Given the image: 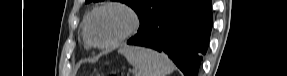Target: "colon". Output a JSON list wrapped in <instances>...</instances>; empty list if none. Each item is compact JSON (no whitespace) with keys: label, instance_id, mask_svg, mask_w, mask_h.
I'll use <instances>...</instances> for the list:
<instances>
[{"label":"colon","instance_id":"obj_1","mask_svg":"<svg viewBox=\"0 0 287 76\" xmlns=\"http://www.w3.org/2000/svg\"><path fill=\"white\" fill-rule=\"evenodd\" d=\"M110 76H116L115 74H110Z\"/></svg>","mask_w":287,"mask_h":76}]
</instances>
